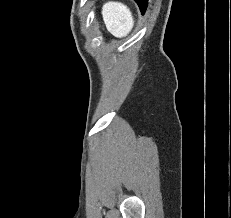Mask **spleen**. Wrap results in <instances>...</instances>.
Wrapping results in <instances>:
<instances>
[{
    "instance_id": "obj_1",
    "label": "spleen",
    "mask_w": 231,
    "mask_h": 218,
    "mask_svg": "<svg viewBox=\"0 0 231 218\" xmlns=\"http://www.w3.org/2000/svg\"><path fill=\"white\" fill-rule=\"evenodd\" d=\"M102 17L107 30L117 38L125 37L134 25L130 10L122 3H105L102 8Z\"/></svg>"
}]
</instances>
